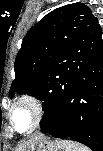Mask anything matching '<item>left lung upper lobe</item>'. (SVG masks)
<instances>
[{"instance_id": "5c2ea615", "label": "left lung upper lobe", "mask_w": 103, "mask_h": 151, "mask_svg": "<svg viewBox=\"0 0 103 151\" xmlns=\"http://www.w3.org/2000/svg\"><path fill=\"white\" fill-rule=\"evenodd\" d=\"M98 23L88 6L74 3L57 8L34 25L15 59L14 92L34 96L40 82L52 77L60 58L90 27Z\"/></svg>"}]
</instances>
